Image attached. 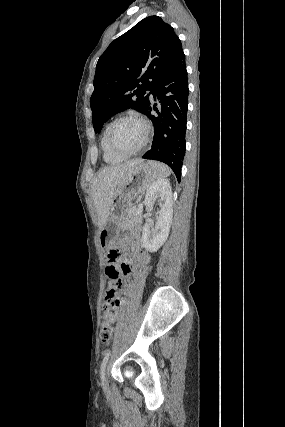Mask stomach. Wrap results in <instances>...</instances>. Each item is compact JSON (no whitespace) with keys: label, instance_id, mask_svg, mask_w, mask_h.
<instances>
[{"label":"stomach","instance_id":"obj_1","mask_svg":"<svg viewBox=\"0 0 285 427\" xmlns=\"http://www.w3.org/2000/svg\"><path fill=\"white\" fill-rule=\"evenodd\" d=\"M155 174L148 163L140 162L129 172L126 180L119 186L114 196L108 219L99 233L100 245L107 248L120 230V225L127 219L132 207V200L145 192L154 180Z\"/></svg>","mask_w":285,"mask_h":427}]
</instances>
